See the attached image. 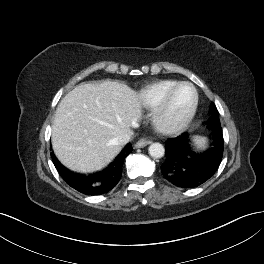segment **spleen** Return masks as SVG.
<instances>
[{
  "mask_svg": "<svg viewBox=\"0 0 264 264\" xmlns=\"http://www.w3.org/2000/svg\"><path fill=\"white\" fill-rule=\"evenodd\" d=\"M192 140L194 142V145L197 148H204L206 146V143H207V139L205 137L198 136V135L193 136Z\"/></svg>",
  "mask_w": 264,
  "mask_h": 264,
  "instance_id": "3e777b00",
  "label": "spleen"
}]
</instances>
